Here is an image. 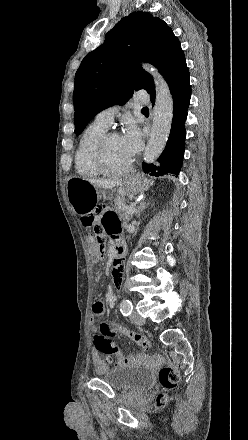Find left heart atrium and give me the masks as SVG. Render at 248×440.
Wrapping results in <instances>:
<instances>
[{
  "instance_id": "left-heart-atrium-1",
  "label": "left heart atrium",
  "mask_w": 248,
  "mask_h": 440,
  "mask_svg": "<svg viewBox=\"0 0 248 440\" xmlns=\"http://www.w3.org/2000/svg\"><path fill=\"white\" fill-rule=\"evenodd\" d=\"M121 140L125 151L133 159L141 148L140 132L133 122L128 123Z\"/></svg>"
}]
</instances>
